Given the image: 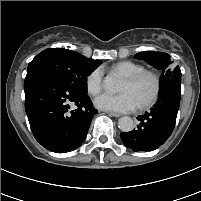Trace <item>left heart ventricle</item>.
<instances>
[{
  "instance_id": "1",
  "label": "left heart ventricle",
  "mask_w": 201,
  "mask_h": 201,
  "mask_svg": "<svg viewBox=\"0 0 201 201\" xmlns=\"http://www.w3.org/2000/svg\"><path fill=\"white\" fill-rule=\"evenodd\" d=\"M153 86V81L148 77L143 78L135 84L123 80L120 91L130 93L136 100L137 104H140L150 97L153 91Z\"/></svg>"
}]
</instances>
